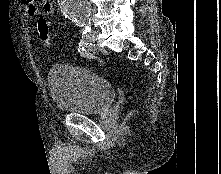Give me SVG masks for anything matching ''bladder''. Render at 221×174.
<instances>
[{
	"mask_svg": "<svg viewBox=\"0 0 221 174\" xmlns=\"http://www.w3.org/2000/svg\"><path fill=\"white\" fill-rule=\"evenodd\" d=\"M47 82L54 105L63 113L99 114L115 99L114 88L108 80L82 67L53 66Z\"/></svg>",
	"mask_w": 221,
	"mask_h": 174,
	"instance_id": "obj_1",
	"label": "bladder"
}]
</instances>
